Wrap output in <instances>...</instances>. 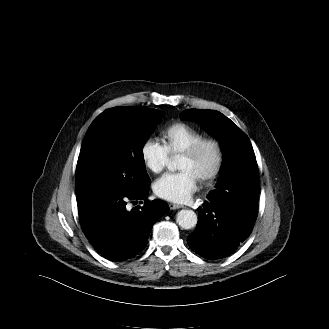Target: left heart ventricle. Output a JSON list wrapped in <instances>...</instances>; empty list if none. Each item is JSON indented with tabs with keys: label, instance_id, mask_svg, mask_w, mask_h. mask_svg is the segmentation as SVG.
Instances as JSON below:
<instances>
[{
	"label": "left heart ventricle",
	"instance_id": "left-heart-ventricle-1",
	"mask_svg": "<svg viewBox=\"0 0 329 329\" xmlns=\"http://www.w3.org/2000/svg\"><path fill=\"white\" fill-rule=\"evenodd\" d=\"M215 154L212 148L203 149L195 158L181 156L179 158L178 168L180 170L191 171L197 179L207 173L214 165Z\"/></svg>",
	"mask_w": 329,
	"mask_h": 329
}]
</instances>
